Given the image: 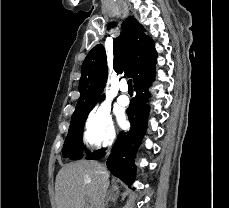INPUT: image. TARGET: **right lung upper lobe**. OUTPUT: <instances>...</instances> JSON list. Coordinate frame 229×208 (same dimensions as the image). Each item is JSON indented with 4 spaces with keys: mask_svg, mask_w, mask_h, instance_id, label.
I'll use <instances>...</instances> for the list:
<instances>
[{
    "mask_svg": "<svg viewBox=\"0 0 229 208\" xmlns=\"http://www.w3.org/2000/svg\"><path fill=\"white\" fill-rule=\"evenodd\" d=\"M122 29L113 43V67L117 73L124 71L125 75L133 77L135 83L155 69L157 52L153 40L133 17L126 19ZM107 75L106 53L103 45L97 44L82 64L80 97L71 120L88 116L103 92Z\"/></svg>",
    "mask_w": 229,
    "mask_h": 208,
    "instance_id": "right-lung-upper-lobe-1",
    "label": "right lung upper lobe"
}]
</instances>
